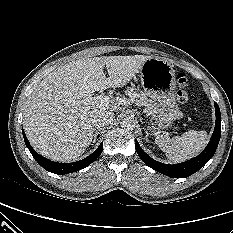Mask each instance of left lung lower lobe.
<instances>
[{"label": "left lung lower lobe", "mask_w": 233, "mask_h": 233, "mask_svg": "<svg viewBox=\"0 0 233 233\" xmlns=\"http://www.w3.org/2000/svg\"><path fill=\"white\" fill-rule=\"evenodd\" d=\"M214 105L216 113L215 129L208 145L201 154L186 162L169 165L152 159L140 148L138 142L136 141V151L139 157L145 164L155 171L173 178L188 177L200 170L213 157L221 136V113L218 104L214 102Z\"/></svg>", "instance_id": "0a47b994"}]
</instances>
